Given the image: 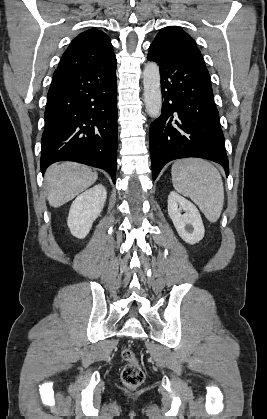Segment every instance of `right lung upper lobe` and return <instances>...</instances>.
Here are the masks:
<instances>
[{
    "label": "right lung upper lobe",
    "mask_w": 267,
    "mask_h": 419,
    "mask_svg": "<svg viewBox=\"0 0 267 419\" xmlns=\"http://www.w3.org/2000/svg\"><path fill=\"white\" fill-rule=\"evenodd\" d=\"M115 61L110 38L100 30L90 29L72 40L58 68L92 69Z\"/></svg>",
    "instance_id": "obj_1"
}]
</instances>
